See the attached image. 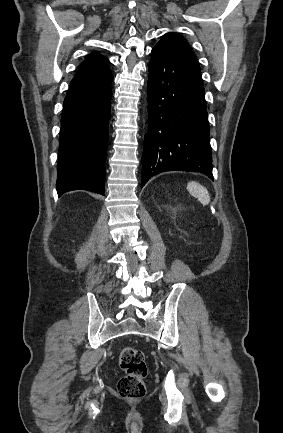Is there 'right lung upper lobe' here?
I'll list each match as a JSON object with an SVG mask.
<instances>
[{"label": "right lung upper lobe", "mask_w": 283, "mask_h": 433, "mask_svg": "<svg viewBox=\"0 0 283 433\" xmlns=\"http://www.w3.org/2000/svg\"><path fill=\"white\" fill-rule=\"evenodd\" d=\"M108 59L98 52L92 53L82 63L76 77L72 80L71 85L88 83L103 77L111 75L108 69Z\"/></svg>", "instance_id": "obj_1"}]
</instances>
